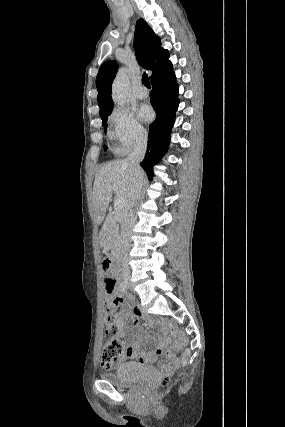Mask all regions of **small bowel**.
Here are the masks:
<instances>
[{"label": "small bowel", "instance_id": "1", "mask_svg": "<svg viewBox=\"0 0 285 427\" xmlns=\"http://www.w3.org/2000/svg\"><path fill=\"white\" fill-rule=\"evenodd\" d=\"M119 294L120 296H123V292L121 289L119 290ZM126 308H127V304L124 305V310L120 312L117 318L116 326L118 330V335L121 338L132 339L133 337H135L134 330L138 328L141 320L144 319V317L137 313H135L134 315H131L126 310ZM142 343L143 341L137 340L136 346L132 349L131 354L124 355L119 359V362L129 358L139 363L147 364L149 356L155 354L157 349L141 350L140 345ZM185 344H186V341L183 338L178 339L176 342L177 348H181ZM169 364H170V370L175 369L178 366V360L176 358H173L172 360L169 361ZM163 371L165 372L164 368H163Z\"/></svg>", "mask_w": 285, "mask_h": 427}]
</instances>
